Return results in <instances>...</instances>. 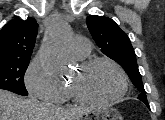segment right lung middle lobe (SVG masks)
I'll list each match as a JSON object with an SVG mask.
<instances>
[{
	"label": "right lung middle lobe",
	"instance_id": "obj_1",
	"mask_svg": "<svg viewBox=\"0 0 165 120\" xmlns=\"http://www.w3.org/2000/svg\"><path fill=\"white\" fill-rule=\"evenodd\" d=\"M30 59L0 58V89L19 95H28L24 85V74Z\"/></svg>",
	"mask_w": 165,
	"mask_h": 120
}]
</instances>
